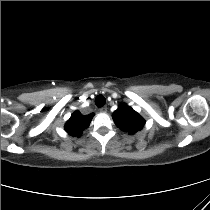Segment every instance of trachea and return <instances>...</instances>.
I'll list each match as a JSON object with an SVG mask.
<instances>
[{"label": "trachea", "instance_id": "obj_1", "mask_svg": "<svg viewBox=\"0 0 210 210\" xmlns=\"http://www.w3.org/2000/svg\"><path fill=\"white\" fill-rule=\"evenodd\" d=\"M105 102H106V99L103 95H98L96 98H95V104L98 106V107H103L105 105Z\"/></svg>", "mask_w": 210, "mask_h": 210}]
</instances>
